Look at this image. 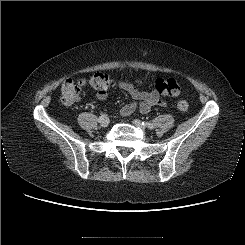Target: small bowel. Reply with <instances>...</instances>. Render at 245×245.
Segmentation results:
<instances>
[{
	"label": "small bowel",
	"instance_id": "c3829d8e",
	"mask_svg": "<svg viewBox=\"0 0 245 245\" xmlns=\"http://www.w3.org/2000/svg\"><path fill=\"white\" fill-rule=\"evenodd\" d=\"M136 82L140 84L142 83V80L136 79ZM118 85L132 98L131 102L125 104L121 108L120 113L122 116H129L136 110L140 111L142 114H147L150 112L153 106H166V102L161 99L160 94L157 91H141L133 82L129 81H120ZM96 95L99 100H105L108 93L107 91H98Z\"/></svg>",
	"mask_w": 245,
	"mask_h": 245
}]
</instances>
